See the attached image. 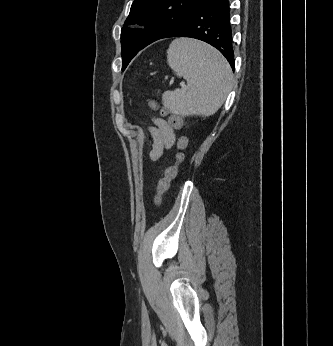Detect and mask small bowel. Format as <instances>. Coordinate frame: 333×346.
<instances>
[{"mask_svg": "<svg viewBox=\"0 0 333 346\" xmlns=\"http://www.w3.org/2000/svg\"><path fill=\"white\" fill-rule=\"evenodd\" d=\"M153 126L149 127L151 160H157L163 152L172 147L175 142V134L172 126L164 119L153 117Z\"/></svg>", "mask_w": 333, "mask_h": 346, "instance_id": "1", "label": "small bowel"}]
</instances>
